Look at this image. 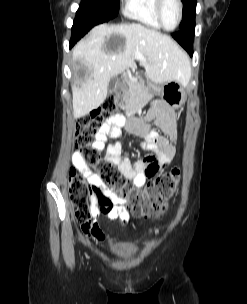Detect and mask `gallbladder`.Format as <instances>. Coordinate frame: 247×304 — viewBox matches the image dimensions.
<instances>
[{"label": "gallbladder", "mask_w": 247, "mask_h": 304, "mask_svg": "<svg viewBox=\"0 0 247 304\" xmlns=\"http://www.w3.org/2000/svg\"><path fill=\"white\" fill-rule=\"evenodd\" d=\"M116 83H117V77L114 76L111 78V80L109 82V86H108L110 93H112L114 91Z\"/></svg>", "instance_id": "gallbladder-1"}]
</instances>
